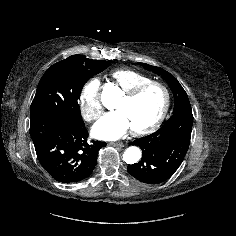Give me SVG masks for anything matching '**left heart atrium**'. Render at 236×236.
<instances>
[{"mask_svg":"<svg viewBox=\"0 0 236 236\" xmlns=\"http://www.w3.org/2000/svg\"><path fill=\"white\" fill-rule=\"evenodd\" d=\"M131 125L122 111L109 112L93 126L92 134L98 139L113 141L121 138Z\"/></svg>","mask_w":236,"mask_h":236,"instance_id":"left-heart-atrium-1","label":"left heart atrium"}]
</instances>
